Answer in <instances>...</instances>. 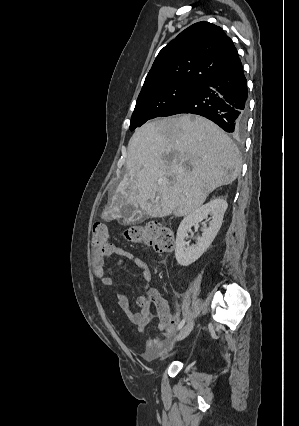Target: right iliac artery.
Masks as SVG:
<instances>
[{"instance_id": "obj_1", "label": "right iliac artery", "mask_w": 299, "mask_h": 426, "mask_svg": "<svg viewBox=\"0 0 299 426\" xmlns=\"http://www.w3.org/2000/svg\"><path fill=\"white\" fill-rule=\"evenodd\" d=\"M185 322H186V319L184 318V319H183V320L179 323V325H178V327H177V330H180V329L184 326Z\"/></svg>"}]
</instances>
